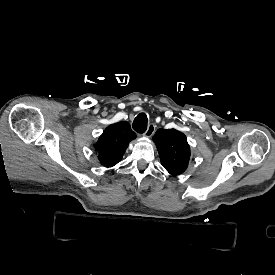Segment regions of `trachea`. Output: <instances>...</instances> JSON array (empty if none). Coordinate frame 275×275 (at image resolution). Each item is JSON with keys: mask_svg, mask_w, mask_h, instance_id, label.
Returning <instances> with one entry per match:
<instances>
[{"mask_svg": "<svg viewBox=\"0 0 275 275\" xmlns=\"http://www.w3.org/2000/svg\"><path fill=\"white\" fill-rule=\"evenodd\" d=\"M148 118L145 112L140 113L133 122V129L138 133H144L147 129Z\"/></svg>", "mask_w": 275, "mask_h": 275, "instance_id": "trachea-1", "label": "trachea"}]
</instances>
